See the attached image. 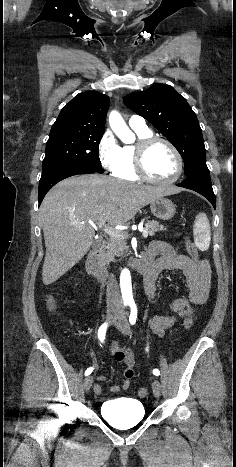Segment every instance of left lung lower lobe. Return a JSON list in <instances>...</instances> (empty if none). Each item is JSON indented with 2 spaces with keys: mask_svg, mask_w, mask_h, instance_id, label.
<instances>
[{
  "mask_svg": "<svg viewBox=\"0 0 236 467\" xmlns=\"http://www.w3.org/2000/svg\"><path fill=\"white\" fill-rule=\"evenodd\" d=\"M177 186L200 193L211 202L214 208H216L215 195L212 189L209 169L199 170L190 174L183 182L177 184Z\"/></svg>",
  "mask_w": 236,
  "mask_h": 467,
  "instance_id": "1",
  "label": "left lung lower lobe"
}]
</instances>
